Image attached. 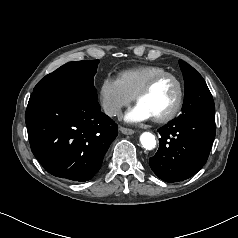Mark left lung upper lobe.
<instances>
[{
  "mask_svg": "<svg viewBox=\"0 0 238 238\" xmlns=\"http://www.w3.org/2000/svg\"><path fill=\"white\" fill-rule=\"evenodd\" d=\"M185 81V94L180 118L215 114L211 92L202 76L189 64L179 60Z\"/></svg>",
  "mask_w": 238,
  "mask_h": 238,
  "instance_id": "obj_1",
  "label": "left lung upper lobe"
}]
</instances>
